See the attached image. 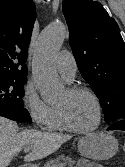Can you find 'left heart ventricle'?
<instances>
[{
  "mask_svg": "<svg viewBox=\"0 0 125 167\" xmlns=\"http://www.w3.org/2000/svg\"><path fill=\"white\" fill-rule=\"evenodd\" d=\"M56 106L65 110L71 123L77 128L91 127L97 121L96 104L87 94L81 93L71 96L66 90L57 101Z\"/></svg>",
  "mask_w": 125,
  "mask_h": 167,
  "instance_id": "obj_1",
  "label": "left heart ventricle"
}]
</instances>
